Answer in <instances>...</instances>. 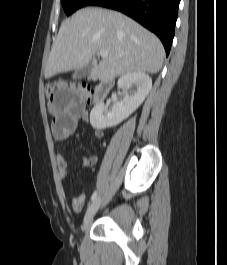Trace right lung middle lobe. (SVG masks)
I'll return each mask as SVG.
<instances>
[{"instance_id": "1", "label": "right lung middle lobe", "mask_w": 227, "mask_h": 265, "mask_svg": "<svg viewBox=\"0 0 227 265\" xmlns=\"http://www.w3.org/2000/svg\"><path fill=\"white\" fill-rule=\"evenodd\" d=\"M93 0H61L64 11L67 15L72 14L77 9L89 5Z\"/></svg>"}]
</instances>
